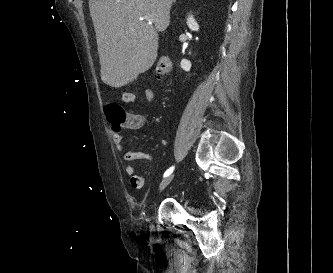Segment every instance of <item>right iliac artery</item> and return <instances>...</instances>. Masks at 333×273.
<instances>
[{
	"label": "right iliac artery",
	"instance_id": "right-iliac-artery-1",
	"mask_svg": "<svg viewBox=\"0 0 333 273\" xmlns=\"http://www.w3.org/2000/svg\"><path fill=\"white\" fill-rule=\"evenodd\" d=\"M174 170V166L170 167L165 173H164V177L169 176Z\"/></svg>",
	"mask_w": 333,
	"mask_h": 273
}]
</instances>
